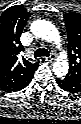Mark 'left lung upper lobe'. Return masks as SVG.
Masks as SVG:
<instances>
[{
    "instance_id": "1",
    "label": "left lung upper lobe",
    "mask_w": 81,
    "mask_h": 124,
    "mask_svg": "<svg viewBox=\"0 0 81 124\" xmlns=\"http://www.w3.org/2000/svg\"><path fill=\"white\" fill-rule=\"evenodd\" d=\"M68 34V56L70 70L65 78L81 86V14H64Z\"/></svg>"
}]
</instances>
